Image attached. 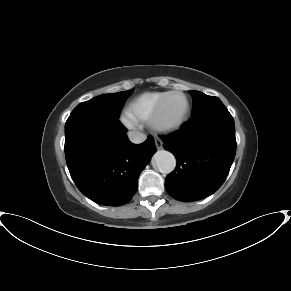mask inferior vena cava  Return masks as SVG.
<instances>
[{"instance_id":"602c4592","label":"inferior vena cava","mask_w":291,"mask_h":291,"mask_svg":"<svg viewBox=\"0 0 291 291\" xmlns=\"http://www.w3.org/2000/svg\"><path fill=\"white\" fill-rule=\"evenodd\" d=\"M128 137H129V140L135 144L142 143L146 139V135L139 131H129Z\"/></svg>"}]
</instances>
